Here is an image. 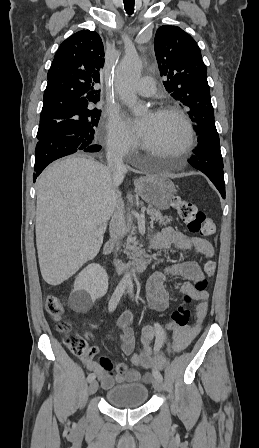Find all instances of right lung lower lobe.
I'll use <instances>...</instances> for the list:
<instances>
[{
  "label": "right lung lower lobe",
  "mask_w": 259,
  "mask_h": 448,
  "mask_svg": "<svg viewBox=\"0 0 259 448\" xmlns=\"http://www.w3.org/2000/svg\"><path fill=\"white\" fill-rule=\"evenodd\" d=\"M101 145L85 146L82 139L74 135H52L38 140L35 150L33 181L54 160L75 152H98Z\"/></svg>",
  "instance_id": "98d812e1"
}]
</instances>
